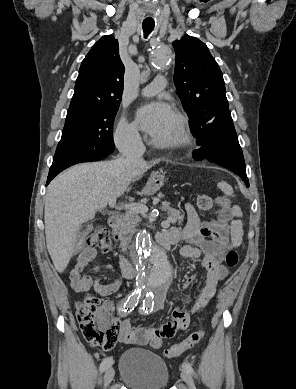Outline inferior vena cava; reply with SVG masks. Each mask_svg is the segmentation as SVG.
Instances as JSON below:
<instances>
[{"label": "inferior vena cava", "instance_id": "602c4592", "mask_svg": "<svg viewBox=\"0 0 296 389\" xmlns=\"http://www.w3.org/2000/svg\"><path fill=\"white\" fill-rule=\"evenodd\" d=\"M144 151L145 147L139 134H131L124 141L122 157L128 162L139 160L142 158Z\"/></svg>", "mask_w": 296, "mask_h": 389}]
</instances>
